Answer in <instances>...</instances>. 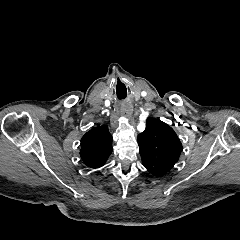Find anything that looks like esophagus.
Here are the masks:
<instances>
[{"instance_id": "obj_1", "label": "esophagus", "mask_w": 240, "mask_h": 240, "mask_svg": "<svg viewBox=\"0 0 240 240\" xmlns=\"http://www.w3.org/2000/svg\"><path fill=\"white\" fill-rule=\"evenodd\" d=\"M120 114L123 116L131 117L132 107L127 102H123L120 104Z\"/></svg>"}]
</instances>
